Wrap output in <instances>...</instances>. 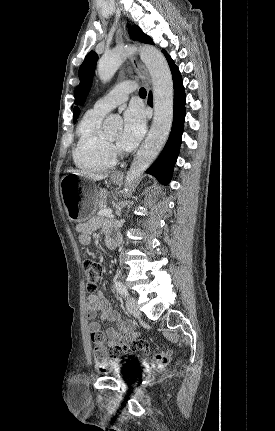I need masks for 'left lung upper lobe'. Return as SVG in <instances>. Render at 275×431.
I'll use <instances>...</instances> for the list:
<instances>
[{
  "label": "left lung upper lobe",
  "mask_w": 275,
  "mask_h": 431,
  "mask_svg": "<svg viewBox=\"0 0 275 431\" xmlns=\"http://www.w3.org/2000/svg\"><path fill=\"white\" fill-rule=\"evenodd\" d=\"M129 33L140 42L153 44L149 36L145 35L138 26L129 27ZM98 60V55L91 51L89 52L79 68L80 84L76 87L74 97L76 104H83L86 96L91 88L92 79Z\"/></svg>",
  "instance_id": "left-lung-upper-lobe-1"
}]
</instances>
